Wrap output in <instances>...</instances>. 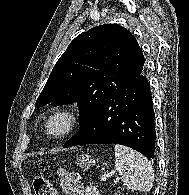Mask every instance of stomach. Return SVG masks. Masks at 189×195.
<instances>
[{"instance_id": "1", "label": "stomach", "mask_w": 189, "mask_h": 195, "mask_svg": "<svg viewBox=\"0 0 189 195\" xmlns=\"http://www.w3.org/2000/svg\"><path fill=\"white\" fill-rule=\"evenodd\" d=\"M93 163V158H91V156L88 154H82L76 158V164L79 165L83 170L89 169Z\"/></svg>"}]
</instances>
